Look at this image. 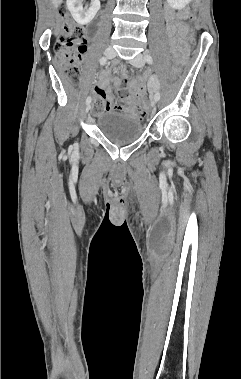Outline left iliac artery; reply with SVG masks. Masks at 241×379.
Returning a JSON list of instances; mask_svg holds the SVG:
<instances>
[{
	"label": "left iliac artery",
	"mask_w": 241,
	"mask_h": 379,
	"mask_svg": "<svg viewBox=\"0 0 241 379\" xmlns=\"http://www.w3.org/2000/svg\"><path fill=\"white\" fill-rule=\"evenodd\" d=\"M145 61L148 63V64H152L153 63V59L151 57L150 54H145ZM155 99L158 101L160 99V93L159 92H156L155 94Z\"/></svg>",
	"instance_id": "obj_1"
}]
</instances>
